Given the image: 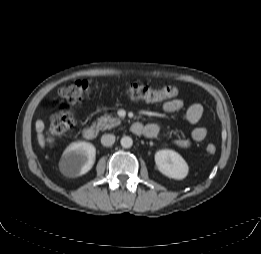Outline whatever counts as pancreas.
<instances>
[{
    "mask_svg": "<svg viewBox=\"0 0 261 254\" xmlns=\"http://www.w3.org/2000/svg\"><path fill=\"white\" fill-rule=\"evenodd\" d=\"M121 123L119 118H113L109 115L98 118L96 127L100 130L111 129Z\"/></svg>",
    "mask_w": 261,
    "mask_h": 254,
    "instance_id": "pancreas-1",
    "label": "pancreas"
}]
</instances>
